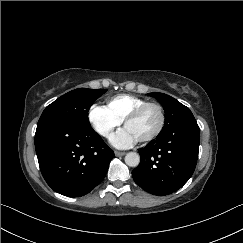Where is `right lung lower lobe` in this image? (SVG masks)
<instances>
[{"mask_svg":"<svg viewBox=\"0 0 243 243\" xmlns=\"http://www.w3.org/2000/svg\"><path fill=\"white\" fill-rule=\"evenodd\" d=\"M35 148L47 184L69 197L83 196L100 184L114 157L92 128L65 122L37 127Z\"/></svg>","mask_w":243,"mask_h":243,"instance_id":"right-lung-lower-lobe-1","label":"right lung lower lobe"}]
</instances>
